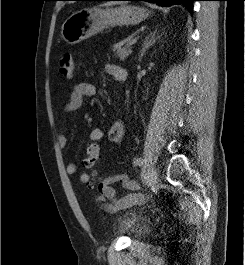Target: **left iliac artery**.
Returning <instances> with one entry per match:
<instances>
[{
    "mask_svg": "<svg viewBox=\"0 0 245 265\" xmlns=\"http://www.w3.org/2000/svg\"><path fill=\"white\" fill-rule=\"evenodd\" d=\"M144 161L142 158H137L134 160V165H143Z\"/></svg>",
    "mask_w": 245,
    "mask_h": 265,
    "instance_id": "44dca946",
    "label": "left iliac artery"
}]
</instances>
